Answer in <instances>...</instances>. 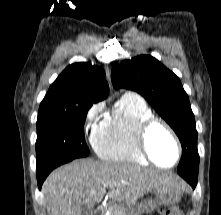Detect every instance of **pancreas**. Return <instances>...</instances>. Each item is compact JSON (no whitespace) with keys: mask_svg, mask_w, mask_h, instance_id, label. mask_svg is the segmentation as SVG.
Returning <instances> with one entry per match:
<instances>
[{"mask_svg":"<svg viewBox=\"0 0 221 215\" xmlns=\"http://www.w3.org/2000/svg\"><path fill=\"white\" fill-rule=\"evenodd\" d=\"M108 215H126V214L122 207L115 205L109 209Z\"/></svg>","mask_w":221,"mask_h":215,"instance_id":"pancreas-1","label":"pancreas"}]
</instances>
